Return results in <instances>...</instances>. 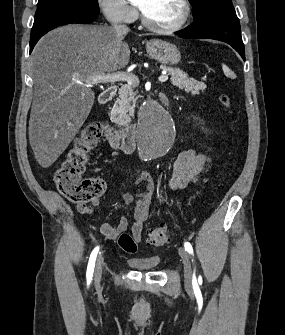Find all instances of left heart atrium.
Returning <instances> with one entry per match:
<instances>
[{"mask_svg": "<svg viewBox=\"0 0 285 335\" xmlns=\"http://www.w3.org/2000/svg\"><path fill=\"white\" fill-rule=\"evenodd\" d=\"M138 4H140L141 6L144 4V1H136Z\"/></svg>", "mask_w": 285, "mask_h": 335, "instance_id": "obj_1", "label": "left heart atrium"}]
</instances>
